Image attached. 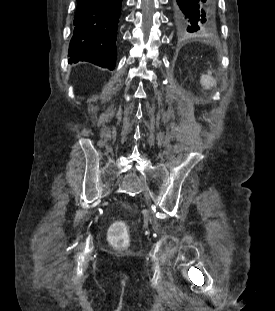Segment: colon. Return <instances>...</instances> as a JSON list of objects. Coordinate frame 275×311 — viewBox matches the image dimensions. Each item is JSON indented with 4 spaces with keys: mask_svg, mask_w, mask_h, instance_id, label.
Wrapping results in <instances>:
<instances>
[{
    "mask_svg": "<svg viewBox=\"0 0 275 311\" xmlns=\"http://www.w3.org/2000/svg\"><path fill=\"white\" fill-rule=\"evenodd\" d=\"M113 241L120 246H124L128 243L126 230L121 223H115L113 226Z\"/></svg>",
    "mask_w": 275,
    "mask_h": 311,
    "instance_id": "colon-1",
    "label": "colon"
}]
</instances>
